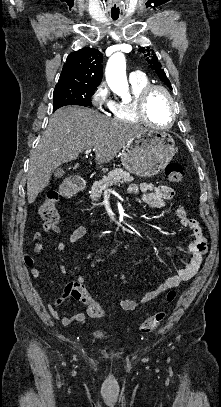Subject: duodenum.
<instances>
[{"mask_svg": "<svg viewBox=\"0 0 221 407\" xmlns=\"http://www.w3.org/2000/svg\"><path fill=\"white\" fill-rule=\"evenodd\" d=\"M85 184L84 183H71L67 186H65L62 189V192L65 196L69 197L73 195L75 192L80 191L84 188Z\"/></svg>", "mask_w": 221, "mask_h": 407, "instance_id": "obj_1", "label": "duodenum"}]
</instances>
